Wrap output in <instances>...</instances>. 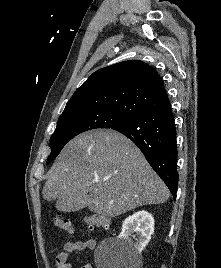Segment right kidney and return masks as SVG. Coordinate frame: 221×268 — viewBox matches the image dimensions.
Returning a JSON list of instances; mask_svg holds the SVG:
<instances>
[{
  "label": "right kidney",
  "instance_id": "ca27d5eb",
  "mask_svg": "<svg viewBox=\"0 0 221 268\" xmlns=\"http://www.w3.org/2000/svg\"><path fill=\"white\" fill-rule=\"evenodd\" d=\"M133 233L138 237L135 243L130 238ZM153 233V216L146 211H138L125 219L118 238L128 244L134 254H139L146 247Z\"/></svg>",
  "mask_w": 221,
  "mask_h": 268
}]
</instances>
